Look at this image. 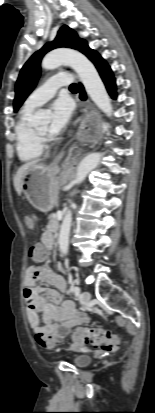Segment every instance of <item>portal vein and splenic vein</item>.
Masks as SVG:
<instances>
[{"label":"portal vein and splenic vein","instance_id":"18ae733b","mask_svg":"<svg viewBox=\"0 0 155 413\" xmlns=\"http://www.w3.org/2000/svg\"><path fill=\"white\" fill-rule=\"evenodd\" d=\"M57 218H59V219L61 218V214H60V213L57 214Z\"/></svg>","mask_w":155,"mask_h":413}]
</instances>
